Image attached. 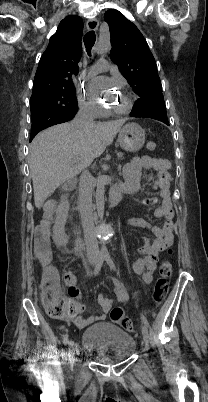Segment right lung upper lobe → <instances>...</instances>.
I'll return each instance as SVG.
<instances>
[{"instance_id":"1","label":"right lung upper lobe","mask_w":208,"mask_h":402,"mask_svg":"<svg viewBox=\"0 0 208 402\" xmlns=\"http://www.w3.org/2000/svg\"><path fill=\"white\" fill-rule=\"evenodd\" d=\"M82 32L83 21L79 16H67L60 22L40 58L32 94L42 87L72 81V75L78 74Z\"/></svg>"}]
</instances>
